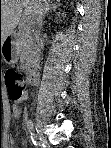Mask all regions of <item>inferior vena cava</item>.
Here are the masks:
<instances>
[{
  "label": "inferior vena cava",
  "mask_w": 111,
  "mask_h": 148,
  "mask_svg": "<svg viewBox=\"0 0 111 148\" xmlns=\"http://www.w3.org/2000/svg\"><path fill=\"white\" fill-rule=\"evenodd\" d=\"M49 0H43L42 5H39L33 14V28L31 33V42H32V54L37 57L40 52L41 46V27H42V19L43 12L48 7Z\"/></svg>",
  "instance_id": "1"
}]
</instances>
